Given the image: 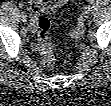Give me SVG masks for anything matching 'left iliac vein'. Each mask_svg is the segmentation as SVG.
<instances>
[{
	"mask_svg": "<svg viewBox=\"0 0 111 106\" xmlns=\"http://www.w3.org/2000/svg\"><path fill=\"white\" fill-rule=\"evenodd\" d=\"M91 10H92V7H91L90 5H88V6H86V7L84 8V13H85V14H90Z\"/></svg>",
	"mask_w": 111,
	"mask_h": 106,
	"instance_id": "obj_1",
	"label": "left iliac vein"
}]
</instances>
